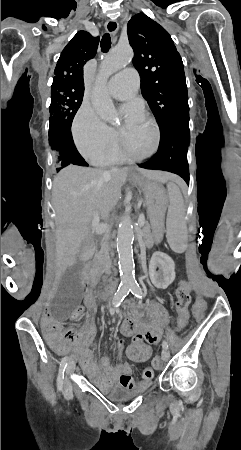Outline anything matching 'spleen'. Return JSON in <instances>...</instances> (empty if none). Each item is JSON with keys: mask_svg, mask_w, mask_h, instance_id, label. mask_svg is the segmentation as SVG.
I'll list each match as a JSON object with an SVG mask.
<instances>
[{"mask_svg": "<svg viewBox=\"0 0 241 450\" xmlns=\"http://www.w3.org/2000/svg\"><path fill=\"white\" fill-rule=\"evenodd\" d=\"M169 194V211H184L185 205L183 202V196L181 194L180 188L169 182L168 186ZM185 215L183 212H169L168 214V224L170 228L168 229L167 238L170 244L171 253L183 254L187 248V229L183 227L185 224Z\"/></svg>", "mask_w": 241, "mask_h": 450, "instance_id": "1", "label": "spleen"}]
</instances>
